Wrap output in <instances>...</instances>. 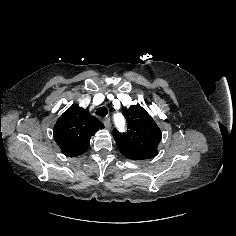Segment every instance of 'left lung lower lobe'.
<instances>
[{
  "label": "left lung lower lobe",
  "mask_w": 236,
  "mask_h": 236,
  "mask_svg": "<svg viewBox=\"0 0 236 236\" xmlns=\"http://www.w3.org/2000/svg\"><path fill=\"white\" fill-rule=\"evenodd\" d=\"M120 152L132 160H146L156 156L157 152L145 151V150H132L127 148H119Z\"/></svg>",
  "instance_id": "obj_1"
}]
</instances>
